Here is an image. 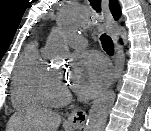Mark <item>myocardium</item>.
<instances>
[{"instance_id": "myocardium-1", "label": "myocardium", "mask_w": 151, "mask_h": 131, "mask_svg": "<svg viewBox=\"0 0 151 131\" xmlns=\"http://www.w3.org/2000/svg\"><path fill=\"white\" fill-rule=\"evenodd\" d=\"M57 72L53 69H49L44 75L41 82V95L43 101L50 105H63L71 100V94L66 87L60 90H55L52 86V82L56 77Z\"/></svg>"}]
</instances>
